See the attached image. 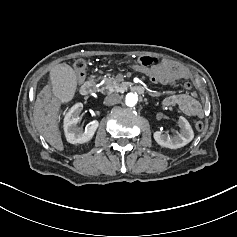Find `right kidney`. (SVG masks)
<instances>
[{
    "label": "right kidney",
    "mask_w": 237,
    "mask_h": 237,
    "mask_svg": "<svg viewBox=\"0 0 237 237\" xmlns=\"http://www.w3.org/2000/svg\"><path fill=\"white\" fill-rule=\"evenodd\" d=\"M82 111L83 105L76 104L65 118L64 132L66 140L70 144H84L90 141L99 126L97 120H92L83 132L80 126Z\"/></svg>",
    "instance_id": "right-kidney-1"
}]
</instances>
